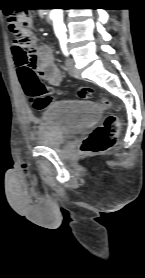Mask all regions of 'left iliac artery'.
<instances>
[{
	"mask_svg": "<svg viewBox=\"0 0 145 278\" xmlns=\"http://www.w3.org/2000/svg\"><path fill=\"white\" fill-rule=\"evenodd\" d=\"M59 40H60L61 49H62L64 55L68 56V52H67V48H66L67 38L65 36H62L59 38Z\"/></svg>",
	"mask_w": 145,
	"mask_h": 278,
	"instance_id": "1",
	"label": "left iliac artery"
}]
</instances>
